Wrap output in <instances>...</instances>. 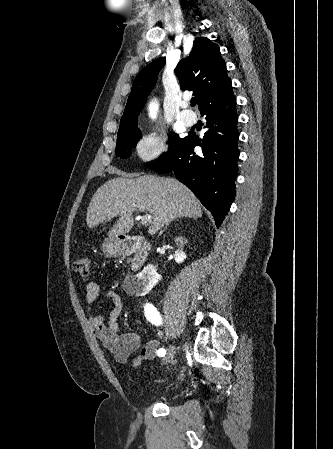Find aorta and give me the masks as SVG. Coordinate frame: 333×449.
Returning <instances> with one entry per match:
<instances>
[{
    "mask_svg": "<svg viewBox=\"0 0 333 449\" xmlns=\"http://www.w3.org/2000/svg\"><path fill=\"white\" fill-rule=\"evenodd\" d=\"M151 116H153V117H154V111H153V110L151 111Z\"/></svg>",
    "mask_w": 333,
    "mask_h": 449,
    "instance_id": "obj_1",
    "label": "aorta"
}]
</instances>
